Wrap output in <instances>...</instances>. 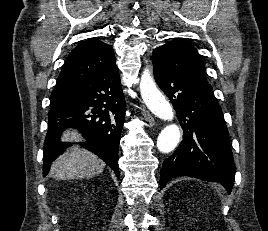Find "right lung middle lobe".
<instances>
[{
  "label": "right lung middle lobe",
  "instance_id": "obj_1",
  "mask_svg": "<svg viewBox=\"0 0 268 231\" xmlns=\"http://www.w3.org/2000/svg\"><path fill=\"white\" fill-rule=\"evenodd\" d=\"M76 95V89H63L53 91L50 97V106L63 104Z\"/></svg>",
  "mask_w": 268,
  "mask_h": 231
}]
</instances>
